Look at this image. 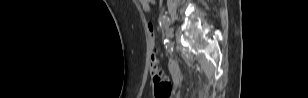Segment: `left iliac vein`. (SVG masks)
I'll list each match as a JSON object with an SVG mask.
<instances>
[{
  "instance_id": "1",
  "label": "left iliac vein",
  "mask_w": 308,
  "mask_h": 98,
  "mask_svg": "<svg viewBox=\"0 0 308 98\" xmlns=\"http://www.w3.org/2000/svg\"><path fill=\"white\" fill-rule=\"evenodd\" d=\"M166 35H167V37H169V38H172V37H173V29H172L171 27H168V28L166 29Z\"/></svg>"
}]
</instances>
